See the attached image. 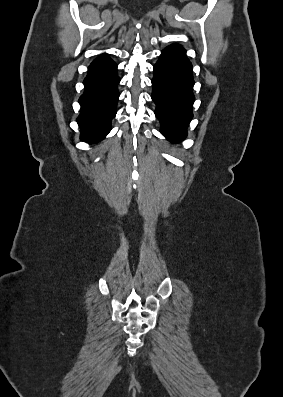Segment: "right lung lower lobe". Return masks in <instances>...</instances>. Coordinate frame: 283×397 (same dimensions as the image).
<instances>
[{
    "mask_svg": "<svg viewBox=\"0 0 283 397\" xmlns=\"http://www.w3.org/2000/svg\"><path fill=\"white\" fill-rule=\"evenodd\" d=\"M116 72L117 65L110 58L94 62L88 68L83 81L85 93L78 100L81 109L77 123L82 141L98 143L111 131L120 95L116 88L120 78Z\"/></svg>",
    "mask_w": 283,
    "mask_h": 397,
    "instance_id": "obj_1",
    "label": "right lung lower lobe"
}]
</instances>
